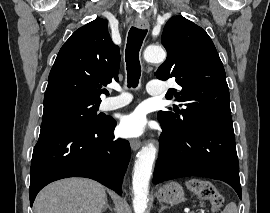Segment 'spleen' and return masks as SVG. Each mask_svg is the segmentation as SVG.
Wrapping results in <instances>:
<instances>
[{
	"label": "spleen",
	"mask_w": 270,
	"mask_h": 213,
	"mask_svg": "<svg viewBox=\"0 0 270 213\" xmlns=\"http://www.w3.org/2000/svg\"><path fill=\"white\" fill-rule=\"evenodd\" d=\"M222 213H237V207L235 203L228 204Z\"/></svg>",
	"instance_id": "1"
}]
</instances>
